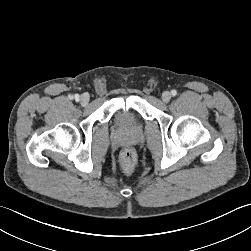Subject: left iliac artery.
<instances>
[{"label": "left iliac artery", "mask_w": 251, "mask_h": 251, "mask_svg": "<svg viewBox=\"0 0 251 251\" xmlns=\"http://www.w3.org/2000/svg\"><path fill=\"white\" fill-rule=\"evenodd\" d=\"M171 94H172L173 96H175V95H177V91H176V90H172V91H171Z\"/></svg>", "instance_id": "1"}]
</instances>
